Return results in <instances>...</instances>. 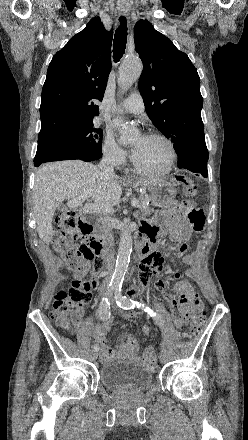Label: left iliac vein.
<instances>
[{
	"label": "left iliac vein",
	"mask_w": 248,
	"mask_h": 440,
	"mask_svg": "<svg viewBox=\"0 0 248 440\" xmlns=\"http://www.w3.org/2000/svg\"><path fill=\"white\" fill-rule=\"evenodd\" d=\"M169 359V355L166 349H163L160 353V360L162 363H166Z\"/></svg>",
	"instance_id": "left-iliac-vein-1"
}]
</instances>
